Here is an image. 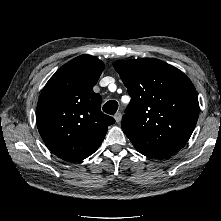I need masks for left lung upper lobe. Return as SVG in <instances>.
Segmentation results:
<instances>
[{"label":"left lung upper lobe","mask_w":221,"mask_h":221,"mask_svg":"<svg viewBox=\"0 0 221 221\" xmlns=\"http://www.w3.org/2000/svg\"><path fill=\"white\" fill-rule=\"evenodd\" d=\"M131 101L122 130L143 155L165 159L189 140L199 114L198 96L179 69L155 58L118 60L113 64Z\"/></svg>","instance_id":"obj_1"}]
</instances>
